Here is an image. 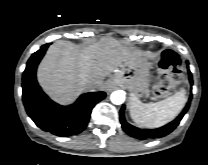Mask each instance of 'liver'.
<instances>
[{
  "label": "liver",
  "instance_id": "obj_1",
  "mask_svg": "<svg viewBox=\"0 0 208 165\" xmlns=\"http://www.w3.org/2000/svg\"><path fill=\"white\" fill-rule=\"evenodd\" d=\"M138 55L111 38L84 47L60 40L48 49L37 78L53 100L66 104L87 90L89 83L105 89L104 78Z\"/></svg>",
  "mask_w": 208,
  "mask_h": 165
}]
</instances>
